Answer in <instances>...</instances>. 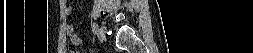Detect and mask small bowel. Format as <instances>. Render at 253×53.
Wrapping results in <instances>:
<instances>
[{
  "instance_id": "small-bowel-1",
  "label": "small bowel",
  "mask_w": 253,
  "mask_h": 53,
  "mask_svg": "<svg viewBox=\"0 0 253 53\" xmlns=\"http://www.w3.org/2000/svg\"><path fill=\"white\" fill-rule=\"evenodd\" d=\"M66 33H67V37L68 39L73 43V44H78L80 43L79 38L77 37V35L74 33V29L73 26L71 24H67L66 25Z\"/></svg>"
}]
</instances>
